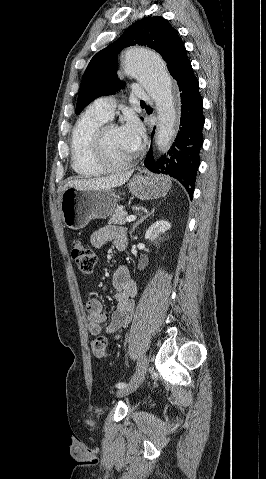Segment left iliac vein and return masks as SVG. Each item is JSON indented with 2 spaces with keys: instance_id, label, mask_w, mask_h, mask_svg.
Returning a JSON list of instances; mask_svg holds the SVG:
<instances>
[{
  "instance_id": "4c4485c4",
  "label": "left iliac vein",
  "mask_w": 266,
  "mask_h": 479,
  "mask_svg": "<svg viewBox=\"0 0 266 479\" xmlns=\"http://www.w3.org/2000/svg\"><path fill=\"white\" fill-rule=\"evenodd\" d=\"M147 371V358L146 356H142L139 359L137 364L136 371L132 378L130 379L128 385L124 388H121L117 391L116 395L118 397L126 396L132 392H134L143 382Z\"/></svg>"
}]
</instances>
